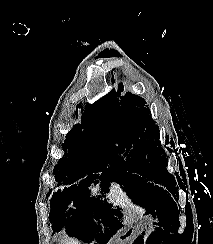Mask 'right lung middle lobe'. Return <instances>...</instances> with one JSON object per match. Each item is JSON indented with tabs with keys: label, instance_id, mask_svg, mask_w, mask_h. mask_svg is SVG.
Returning a JSON list of instances; mask_svg holds the SVG:
<instances>
[{
	"label": "right lung middle lobe",
	"instance_id": "1",
	"mask_svg": "<svg viewBox=\"0 0 213 244\" xmlns=\"http://www.w3.org/2000/svg\"><path fill=\"white\" fill-rule=\"evenodd\" d=\"M108 116L85 112L81 124L67 134L63 150L65 157L54 168L55 178L73 183L92 169H119L124 164L118 155L124 152L112 142ZM68 179V182H67Z\"/></svg>",
	"mask_w": 213,
	"mask_h": 244
}]
</instances>
